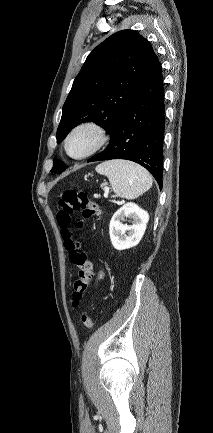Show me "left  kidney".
Returning <instances> with one entry per match:
<instances>
[{
  "label": "left kidney",
  "instance_id": "obj_1",
  "mask_svg": "<svg viewBox=\"0 0 213 433\" xmlns=\"http://www.w3.org/2000/svg\"><path fill=\"white\" fill-rule=\"evenodd\" d=\"M125 218L133 220L132 224H123ZM148 221L149 214L137 204L133 202L124 204L114 213L110 221L109 234L113 247L116 250H125L136 246L145 233Z\"/></svg>",
  "mask_w": 213,
  "mask_h": 433
}]
</instances>
